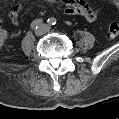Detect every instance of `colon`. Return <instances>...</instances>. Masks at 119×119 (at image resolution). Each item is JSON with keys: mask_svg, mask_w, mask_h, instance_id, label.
<instances>
[{"mask_svg": "<svg viewBox=\"0 0 119 119\" xmlns=\"http://www.w3.org/2000/svg\"><path fill=\"white\" fill-rule=\"evenodd\" d=\"M108 37L110 39H114L118 36L119 34V26L117 23H111L108 27L107 31Z\"/></svg>", "mask_w": 119, "mask_h": 119, "instance_id": "obj_1", "label": "colon"}]
</instances>
